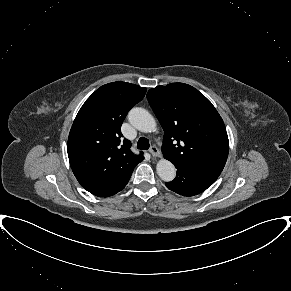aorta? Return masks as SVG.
Segmentation results:
<instances>
[{"mask_svg": "<svg viewBox=\"0 0 291 291\" xmlns=\"http://www.w3.org/2000/svg\"><path fill=\"white\" fill-rule=\"evenodd\" d=\"M129 122L141 132H152L156 128L154 117L144 108H132L128 114ZM158 176L165 182L172 181L176 176L175 166L167 159H161L156 165Z\"/></svg>", "mask_w": 291, "mask_h": 291, "instance_id": "obj_1", "label": "aorta"}]
</instances>
